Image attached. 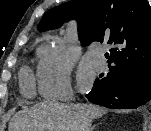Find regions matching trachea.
I'll use <instances>...</instances> for the list:
<instances>
[{"label":"trachea","mask_w":151,"mask_h":131,"mask_svg":"<svg viewBox=\"0 0 151 131\" xmlns=\"http://www.w3.org/2000/svg\"><path fill=\"white\" fill-rule=\"evenodd\" d=\"M105 57H106V58H109V54H108V53H105Z\"/></svg>","instance_id":"3493384b"}]
</instances>
